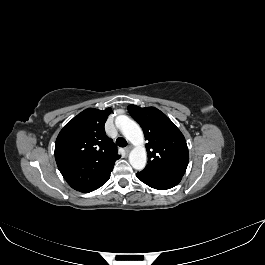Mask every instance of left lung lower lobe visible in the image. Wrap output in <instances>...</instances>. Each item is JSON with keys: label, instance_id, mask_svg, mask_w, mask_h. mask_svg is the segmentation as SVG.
Masks as SVG:
<instances>
[{"label": "left lung lower lobe", "instance_id": "0a47b994", "mask_svg": "<svg viewBox=\"0 0 265 265\" xmlns=\"http://www.w3.org/2000/svg\"><path fill=\"white\" fill-rule=\"evenodd\" d=\"M137 177L146 185L158 189V190H165L170 189L176 186L182 177H174V176H163V175H154L145 173L143 171L138 172Z\"/></svg>", "mask_w": 265, "mask_h": 265}]
</instances>
